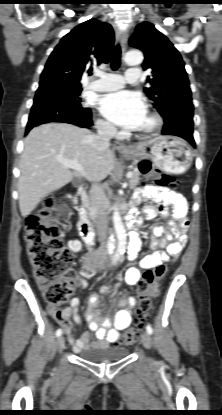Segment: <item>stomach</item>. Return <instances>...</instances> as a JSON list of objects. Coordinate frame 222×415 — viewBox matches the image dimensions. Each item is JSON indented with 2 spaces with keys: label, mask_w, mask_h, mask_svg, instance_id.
<instances>
[{
  "label": "stomach",
  "mask_w": 222,
  "mask_h": 415,
  "mask_svg": "<svg viewBox=\"0 0 222 415\" xmlns=\"http://www.w3.org/2000/svg\"><path fill=\"white\" fill-rule=\"evenodd\" d=\"M143 145L142 149L139 147ZM127 155L136 160L150 159L154 166L171 174H182L192 164V153L187 143L175 136L152 139L132 148Z\"/></svg>",
  "instance_id": "obj_1"
}]
</instances>
